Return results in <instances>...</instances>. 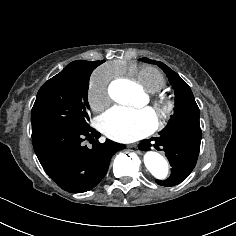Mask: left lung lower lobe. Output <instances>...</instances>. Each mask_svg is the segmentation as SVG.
<instances>
[{
  "mask_svg": "<svg viewBox=\"0 0 236 236\" xmlns=\"http://www.w3.org/2000/svg\"><path fill=\"white\" fill-rule=\"evenodd\" d=\"M160 137L152 138L155 148L164 150L171 168V175L166 180H156L161 186H174L182 182L194 169L200 150L201 130L167 127L160 133ZM151 140H143L139 144L140 150H149ZM160 147V148H159Z\"/></svg>",
  "mask_w": 236,
  "mask_h": 236,
  "instance_id": "left-lung-lower-lobe-1",
  "label": "left lung lower lobe"
}]
</instances>
